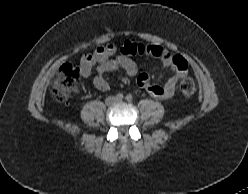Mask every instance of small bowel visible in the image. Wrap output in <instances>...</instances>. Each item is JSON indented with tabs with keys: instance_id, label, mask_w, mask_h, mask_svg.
Masks as SVG:
<instances>
[{
	"instance_id": "small-bowel-1",
	"label": "small bowel",
	"mask_w": 248,
	"mask_h": 194,
	"mask_svg": "<svg viewBox=\"0 0 248 194\" xmlns=\"http://www.w3.org/2000/svg\"><path fill=\"white\" fill-rule=\"evenodd\" d=\"M139 44L125 42L119 52L114 45L98 47L90 54H86L80 61V73L85 79L91 77L92 69L96 67V75L93 78L95 87L100 91L110 88L108 81L104 78L107 72L123 70L129 76H137V84L156 99L167 100L174 96L176 86L188 70V64L181 56L171 55L162 47L148 44L144 46V54L158 58L171 72V77L164 85H153L147 74H138L136 63L130 56L137 55Z\"/></svg>"
}]
</instances>
